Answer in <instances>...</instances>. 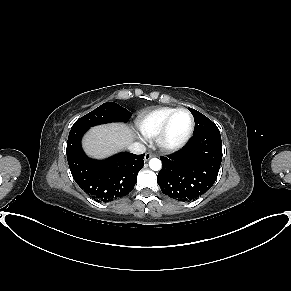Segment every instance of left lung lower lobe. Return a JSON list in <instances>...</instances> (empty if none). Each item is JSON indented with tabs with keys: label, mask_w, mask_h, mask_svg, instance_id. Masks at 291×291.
Segmentation results:
<instances>
[{
	"label": "left lung lower lobe",
	"mask_w": 291,
	"mask_h": 291,
	"mask_svg": "<svg viewBox=\"0 0 291 291\" xmlns=\"http://www.w3.org/2000/svg\"><path fill=\"white\" fill-rule=\"evenodd\" d=\"M157 176L162 192L179 201H192L209 190L217 179L222 161L218 128L194 135L178 152L160 157Z\"/></svg>",
	"instance_id": "1"
}]
</instances>
